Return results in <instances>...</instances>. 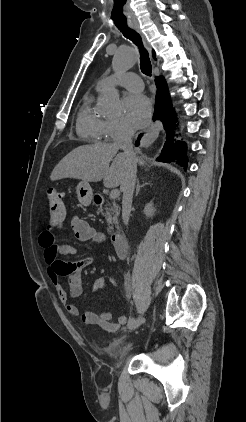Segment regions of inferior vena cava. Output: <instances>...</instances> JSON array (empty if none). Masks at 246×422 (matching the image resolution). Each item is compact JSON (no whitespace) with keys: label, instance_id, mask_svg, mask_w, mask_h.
<instances>
[{"label":"inferior vena cava","instance_id":"1","mask_svg":"<svg viewBox=\"0 0 246 422\" xmlns=\"http://www.w3.org/2000/svg\"><path fill=\"white\" fill-rule=\"evenodd\" d=\"M133 135L134 130L132 128L123 126L113 143L114 147L123 150V154L125 155L128 164L127 173L121 185V190L123 192L122 218L126 225L129 222L137 173V158L132 146Z\"/></svg>","mask_w":246,"mask_h":422}]
</instances>
